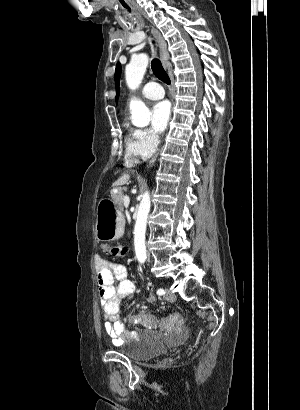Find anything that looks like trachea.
I'll use <instances>...</instances> for the list:
<instances>
[{"label":"trachea","mask_w":300,"mask_h":410,"mask_svg":"<svg viewBox=\"0 0 300 410\" xmlns=\"http://www.w3.org/2000/svg\"><path fill=\"white\" fill-rule=\"evenodd\" d=\"M151 68L154 73V75L161 80L162 82L166 84H170V78L166 71L164 70L161 61L157 58H153L151 61Z\"/></svg>","instance_id":"3493384b"}]
</instances>
